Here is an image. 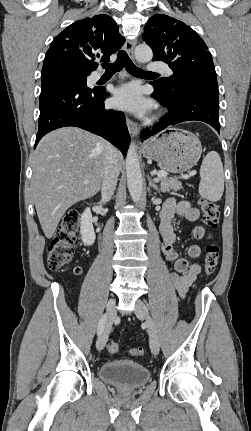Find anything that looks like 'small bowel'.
Segmentation results:
<instances>
[{
	"label": "small bowel",
	"instance_id": "c3829d8e",
	"mask_svg": "<svg viewBox=\"0 0 251 431\" xmlns=\"http://www.w3.org/2000/svg\"><path fill=\"white\" fill-rule=\"evenodd\" d=\"M160 215V233L163 238L162 252L165 259L173 263V271L169 274V279L178 294L184 297L189 287L197 279L201 271V266L198 263L189 264L186 259L179 257L178 253L175 251L176 234L172 219L178 216L189 222H194L199 218V211L192 207L188 201H176L173 198H169L163 204ZM193 235L196 239H202L207 236V233L204 227L198 226L193 230ZM200 254L201 248L198 245H191L188 248L189 257L198 258ZM81 273L82 268L79 274Z\"/></svg>",
	"mask_w": 251,
	"mask_h": 431
}]
</instances>
